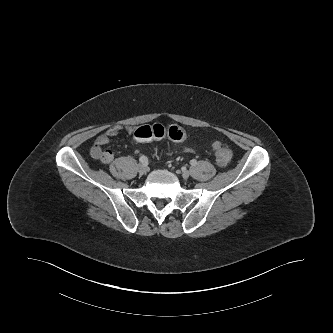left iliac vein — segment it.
Returning <instances> with one entry per match:
<instances>
[{"mask_svg":"<svg viewBox=\"0 0 333 333\" xmlns=\"http://www.w3.org/2000/svg\"><path fill=\"white\" fill-rule=\"evenodd\" d=\"M181 175H182V177H183L184 179H187V178H189L190 173H189L188 170H183L182 173H181Z\"/></svg>","mask_w":333,"mask_h":333,"instance_id":"4c4485c4","label":"left iliac vein"}]
</instances>
